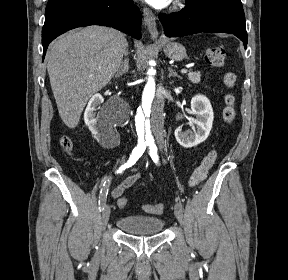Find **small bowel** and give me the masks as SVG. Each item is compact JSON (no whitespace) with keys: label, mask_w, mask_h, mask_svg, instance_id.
<instances>
[{"label":"small bowel","mask_w":288,"mask_h":280,"mask_svg":"<svg viewBox=\"0 0 288 280\" xmlns=\"http://www.w3.org/2000/svg\"><path fill=\"white\" fill-rule=\"evenodd\" d=\"M133 174L124 178L112 191L111 196L117 200L118 206L123 208L119 205V202L124 197V193L127 189L131 188L133 185L137 183L140 178V174L137 172L136 168H132Z\"/></svg>","instance_id":"1"}]
</instances>
